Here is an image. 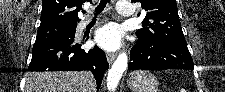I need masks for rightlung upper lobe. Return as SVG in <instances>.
<instances>
[{"label": "right lung upper lobe", "mask_w": 225, "mask_h": 92, "mask_svg": "<svg viewBox=\"0 0 225 92\" xmlns=\"http://www.w3.org/2000/svg\"><path fill=\"white\" fill-rule=\"evenodd\" d=\"M88 0H43L40 26L49 24L77 25L78 12Z\"/></svg>", "instance_id": "right-lung-upper-lobe-1"}]
</instances>
